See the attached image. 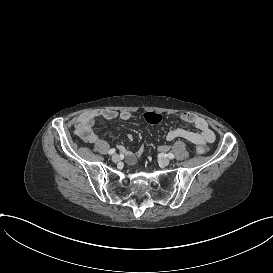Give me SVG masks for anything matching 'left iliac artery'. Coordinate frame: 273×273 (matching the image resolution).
Listing matches in <instances>:
<instances>
[{
	"label": "left iliac artery",
	"instance_id": "44dca946",
	"mask_svg": "<svg viewBox=\"0 0 273 273\" xmlns=\"http://www.w3.org/2000/svg\"><path fill=\"white\" fill-rule=\"evenodd\" d=\"M167 156L169 159H173L175 157L173 153H168Z\"/></svg>",
	"mask_w": 273,
	"mask_h": 273
}]
</instances>
